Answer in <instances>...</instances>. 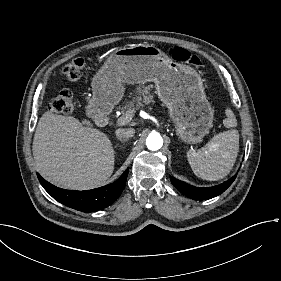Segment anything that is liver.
<instances>
[{
    "label": "liver",
    "mask_w": 281,
    "mask_h": 281,
    "mask_svg": "<svg viewBox=\"0 0 281 281\" xmlns=\"http://www.w3.org/2000/svg\"><path fill=\"white\" fill-rule=\"evenodd\" d=\"M32 150L42 177L65 189L99 187L113 172L108 137L74 117L45 112L37 124Z\"/></svg>",
    "instance_id": "1"
}]
</instances>
